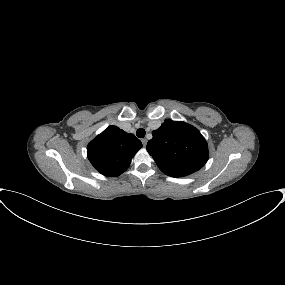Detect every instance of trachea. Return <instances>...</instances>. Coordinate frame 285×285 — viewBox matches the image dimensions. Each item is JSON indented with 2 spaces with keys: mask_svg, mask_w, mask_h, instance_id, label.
I'll use <instances>...</instances> for the list:
<instances>
[{
  "mask_svg": "<svg viewBox=\"0 0 285 285\" xmlns=\"http://www.w3.org/2000/svg\"><path fill=\"white\" fill-rule=\"evenodd\" d=\"M146 132L143 128H139L136 132V135L138 138H143L145 136Z\"/></svg>",
  "mask_w": 285,
  "mask_h": 285,
  "instance_id": "trachea-1",
  "label": "trachea"
}]
</instances>
